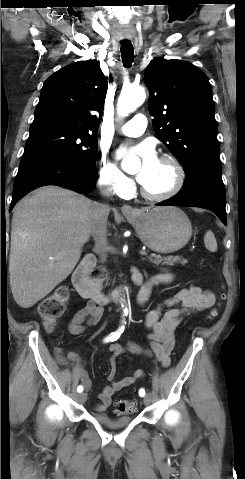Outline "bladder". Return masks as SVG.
<instances>
[{
    "mask_svg": "<svg viewBox=\"0 0 245 479\" xmlns=\"http://www.w3.org/2000/svg\"><path fill=\"white\" fill-rule=\"evenodd\" d=\"M92 418L98 422L99 424L106 426L108 428H122L127 426L131 421L132 417L131 416H124V417H118L114 418L111 416H108L106 414H94L92 415Z\"/></svg>",
    "mask_w": 245,
    "mask_h": 479,
    "instance_id": "bladder-1",
    "label": "bladder"
}]
</instances>
